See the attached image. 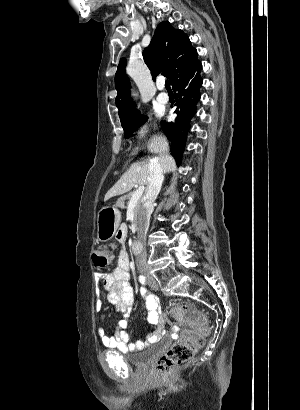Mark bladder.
I'll return each mask as SVG.
<instances>
[{
  "label": "bladder",
  "instance_id": "1",
  "mask_svg": "<svg viewBox=\"0 0 300 410\" xmlns=\"http://www.w3.org/2000/svg\"><path fill=\"white\" fill-rule=\"evenodd\" d=\"M155 353L154 348H146L137 355L125 356L124 360L132 366L144 367L151 361Z\"/></svg>",
  "mask_w": 300,
  "mask_h": 410
}]
</instances>
